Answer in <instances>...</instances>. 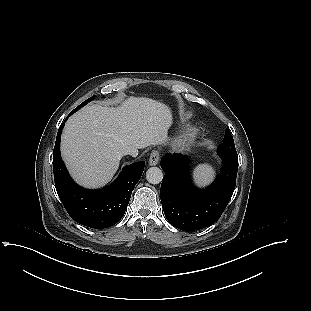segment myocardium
Masks as SVG:
<instances>
[{"instance_id": "f54148a6", "label": "myocardium", "mask_w": 311, "mask_h": 311, "mask_svg": "<svg viewBox=\"0 0 311 311\" xmlns=\"http://www.w3.org/2000/svg\"><path fill=\"white\" fill-rule=\"evenodd\" d=\"M194 141V131H184L177 139V147L185 150L189 148Z\"/></svg>"}]
</instances>
